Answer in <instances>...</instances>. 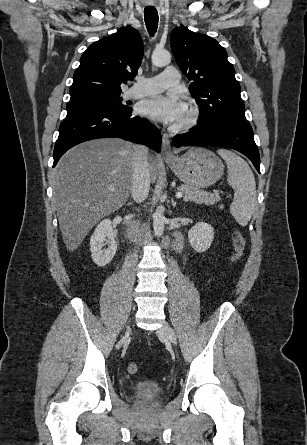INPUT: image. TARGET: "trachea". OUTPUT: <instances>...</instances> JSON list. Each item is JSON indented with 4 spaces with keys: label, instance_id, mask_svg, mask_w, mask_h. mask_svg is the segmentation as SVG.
I'll list each match as a JSON object with an SVG mask.
<instances>
[{
    "label": "trachea",
    "instance_id": "1",
    "mask_svg": "<svg viewBox=\"0 0 307 445\" xmlns=\"http://www.w3.org/2000/svg\"><path fill=\"white\" fill-rule=\"evenodd\" d=\"M158 13L155 7H145L144 20L150 35L155 34L158 27Z\"/></svg>",
    "mask_w": 307,
    "mask_h": 445
}]
</instances>
